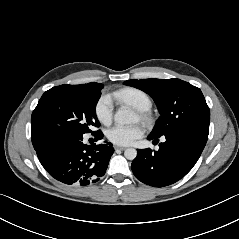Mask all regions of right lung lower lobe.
<instances>
[{
	"instance_id": "1",
	"label": "right lung lower lobe",
	"mask_w": 239,
	"mask_h": 239,
	"mask_svg": "<svg viewBox=\"0 0 239 239\" xmlns=\"http://www.w3.org/2000/svg\"><path fill=\"white\" fill-rule=\"evenodd\" d=\"M97 140L101 131L93 133ZM45 170L56 180L68 185L95 183L106 172L114 152L111 143L86 145L83 135L71 132L54 134L35 149Z\"/></svg>"
}]
</instances>
